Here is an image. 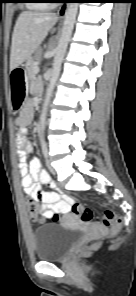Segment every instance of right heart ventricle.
Instances as JSON below:
<instances>
[{
  "label": "right heart ventricle",
  "instance_id": "right-heart-ventricle-1",
  "mask_svg": "<svg viewBox=\"0 0 136 296\" xmlns=\"http://www.w3.org/2000/svg\"><path fill=\"white\" fill-rule=\"evenodd\" d=\"M32 3H29L28 6H30L32 9H46L48 7V4L45 2V0H32Z\"/></svg>",
  "mask_w": 136,
  "mask_h": 296
}]
</instances>
